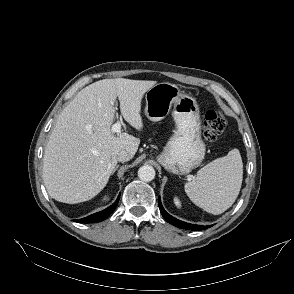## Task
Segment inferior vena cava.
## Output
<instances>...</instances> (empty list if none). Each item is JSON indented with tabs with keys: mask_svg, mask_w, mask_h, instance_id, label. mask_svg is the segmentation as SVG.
I'll list each match as a JSON object with an SVG mask.
<instances>
[{
	"mask_svg": "<svg viewBox=\"0 0 294 294\" xmlns=\"http://www.w3.org/2000/svg\"><path fill=\"white\" fill-rule=\"evenodd\" d=\"M132 158V156L127 151H120L117 155V161L119 162H126L129 161Z\"/></svg>",
	"mask_w": 294,
	"mask_h": 294,
	"instance_id": "inferior-vena-cava-1",
	"label": "inferior vena cava"
}]
</instances>
